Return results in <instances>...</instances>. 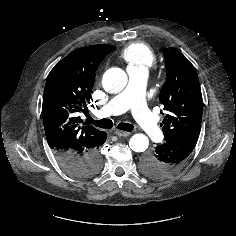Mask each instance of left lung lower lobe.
I'll use <instances>...</instances> for the list:
<instances>
[{
	"label": "left lung lower lobe",
	"mask_w": 236,
	"mask_h": 236,
	"mask_svg": "<svg viewBox=\"0 0 236 236\" xmlns=\"http://www.w3.org/2000/svg\"><path fill=\"white\" fill-rule=\"evenodd\" d=\"M197 137L182 136L157 145L142 158L143 173L154 179H164L177 173L192 152Z\"/></svg>",
	"instance_id": "obj_1"
}]
</instances>
